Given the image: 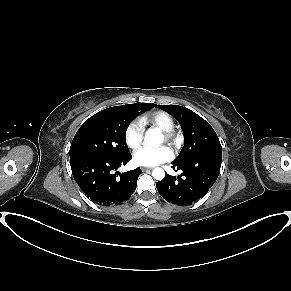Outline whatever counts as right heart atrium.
<instances>
[{
	"mask_svg": "<svg viewBox=\"0 0 291 291\" xmlns=\"http://www.w3.org/2000/svg\"><path fill=\"white\" fill-rule=\"evenodd\" d=\"M144 126L140 120L131 121L125 131H124V140L128 147L136 148L143 139Z\"/></svg>",
	"mask_w": 291,
	"mask_h": 291,
	"instance_id": "right-heart-atrium-1",
	"label": "right heart atrium"
}]
</instances>
